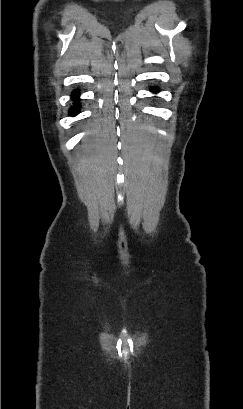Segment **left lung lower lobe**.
<instances>
[{
	"instance_id": "0a47b994",
	"label": "left lung lower lobe",
	"mask_w": 243,
	"mask_h": 409,
	"mask_svg": "<svg viewBox=\"0 0 243 409\" xmlns=\"http://www.w3.org/2000/svg\"><path fill=\"white\" fill-rule=\"evenodd\" d=\"M153 91H157V89H153Z\"/></svg>"
}]
</instances>
